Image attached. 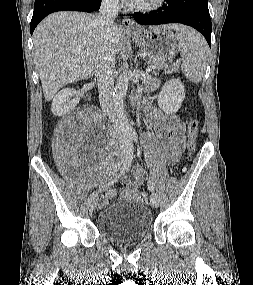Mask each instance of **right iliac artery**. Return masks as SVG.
I'll return each mask as SVG.
<instances>
[{"instance_id":"82829eb1","label":"right iliac artery","mask_w":253,"mask_h":285,"mask_svg":"<svg viewBox=\"0 0 253 285\" xmlns=\"http://www.w3.org/2000/svg\"><path fill=\"white\" fill-rule=\"evenodd\" d=\"M125 144H126V151L124 158L121 162V165L119 167V173L112 180H110L108 183L102 186L101 191L111 187L115 182H117L119 177L122 176L130 168L133 158V145L130 137L125 138Z\"/></svg>"}]
</instances>
